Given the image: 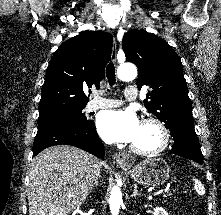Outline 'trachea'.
I'll use <instances>...</instances> for the list:
<instances>
[{"label":"trachea","instance_id":"3493384b","mask_svg":"<svg viewBox=\"0 0 221 215\" xmlns=\"http://www.w3.org/2000/svg\"><path fill=\"white\" fill-rule=\"evenodd\" d=\"M106 76L110 86L116 83L115 68L113 63H109L106 68Z\"/></svg>","mask_w":221,"mask_h":215}]
</instances>
